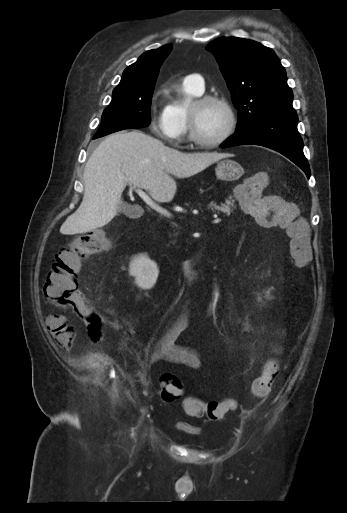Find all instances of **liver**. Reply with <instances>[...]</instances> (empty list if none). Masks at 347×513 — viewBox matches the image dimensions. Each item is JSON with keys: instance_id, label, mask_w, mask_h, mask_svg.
<instances>
[{"instance_id": "1", "label": "liver", "mask_w": 347, "mask_h": 513, "mask_svg": "<svg viewBox=\"0 0 347 513\" xmlns=\"http://www.w3.org/2000/svg\"><path fill=\"white\" fill-rule=\"evenodd\" d=\"M230 156L218 152L183 153L141 131L111 134L87 161L82 203L68 216L60 232L82 234L108 224L121 206L127 184L144 188L157 202H170L177 190L171 175L189 178Z\"/></svg>"}]
</instances>
